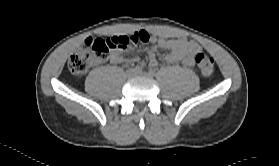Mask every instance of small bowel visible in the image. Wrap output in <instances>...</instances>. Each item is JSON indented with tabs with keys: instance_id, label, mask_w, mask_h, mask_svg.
I'll list each match as a JSON object with an SVG mask.
<instances>
[{
	"instance_id": "1",
	"label": "small bowel",
	"mask_w": 279,
	"mask_h": 166,
	"mask_svg": "<svg viewBox=\"0 0 279 166\" xmlns=\"http://www.w3.org/2000/svg\"><path fill=\"white\" fill-rule=\"evenodd\" d=\"M136 39L137 42L144 41L146 43H152L155 45V48L150 50L148 53V64L150 67L154 68L158 65V60L156 58V52L159 50H168L169 53L166 56V60L169 63L181 62L187 66H193L194 56L201 50L200 45L192 40H187L185 38L179 39H165L157 38L150 35L146 30H139L130 35H127ZM132 43V44H135ZM126 48H117L111 51L110 61L112 64H120L124 62L123 51ZM139 60L138 56H134L130 61L137 62Z\"/></svg>"
}]
</instances>
